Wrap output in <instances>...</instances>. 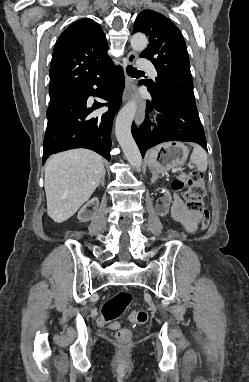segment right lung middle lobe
<instances>
[{
    "label": "right lung middle lobe",
    "instance_id": "obj_1",
    "mask_svg": "<svg viewBox=\"0 0 249 382\" xmlns=\"http://www.w3.org/2000/svg\"><path fill=\"white\" fill-rule=\"evenodd\" d=\"M57 104V103H56ZM53 105H55V104H50L49 106H53Z\"/></svg>",
    "mask_w": 249,
    "mask_h": 382
}]
</instances>
